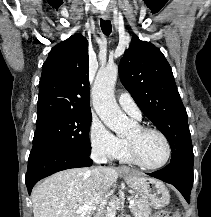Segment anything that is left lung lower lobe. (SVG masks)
<instances>
[{"label": "left lung lower lobe", "instance_id": "0a47b994", "mask_svg": "<svg viewBox=\"0 0 211 217\" xmlns=\"http://www.w3.org/2000/svg\"><path fill=\"white\" fill-rule=\"evenodd\" d=\"M148 175L174 185L190 203L193 185V163L171 162L165 168Z\"/></svg>", "mask_w": 211, "mask_h": 217}]
</instances>
